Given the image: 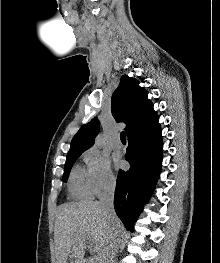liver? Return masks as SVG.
Returning <instances> with one entry per match:
<instances>
[{
	"instance_id": "obj_1",
	"label": "liver",
	"mask_w": 220,
	"mask_h": 263,
	"mask_svg": "<svg viewBox=\"0 0 220 263\" xmlns=\"http://www.w3.org/2000/svg\"><path fill=\"white\" fill-rule=\"evenodd\" d=\"M120 230L118 217L113 221ZM112 223L98 201H81L58 208L54 226L56 263H83L88 237L103 260Z\"/></svg>"
}]
</instances>
